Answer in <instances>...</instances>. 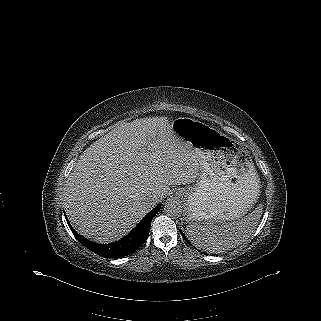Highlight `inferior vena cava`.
Wrapping results in <instances>:
<instances>
[{"mask_svg":"<svg viewBox=\"0 0 321 321\" xmlns=\"http://www.w3.org/2000/svg\"><path fill=\"white\" fill-rule=\"evenodd\" d=\"M148 202L149 204L155 205V198L154 197L148 198Z\"/></svg>","mask_w":321,"mask_h":321,"instance_id":"1","label":"inferior vena cava"}]
</instances>
